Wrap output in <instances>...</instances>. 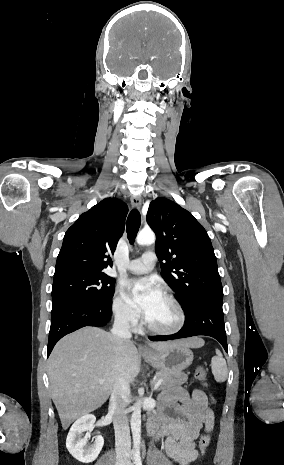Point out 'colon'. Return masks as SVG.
<instances>
[{
    "mask_svg": "<svg viewBox=\"0 0 284 465\" xmlns=\"http://www.w3.org/2000/svg\"><path fill=\"white\" fill-rule=\"evenodd\" d=\"M195 376L198 380L205 382L206 381V372L202 367H198L195 373ZM199 446L202 449V458H207L209 454V448L211 446L210 438L207 435H204L201 440L199 441Z\"/></svg>",
    "mask_w": 284,
    "mask_h": 465,
    "instance_id": "colon-1",
    "label": "colon"
}]
</instances>
